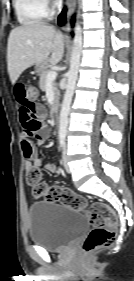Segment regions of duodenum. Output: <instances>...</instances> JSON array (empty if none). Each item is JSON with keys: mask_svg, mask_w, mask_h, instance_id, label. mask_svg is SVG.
<instances>
[{"mask_svg": "<svg viewBox=\"0 0 134 281\" xmlns=\"http://www.w3.org/2000/svg\"><path fill=\"white\" fill-rule=\"evenodd\" d=\"M58 116H59V107L57 104H55L51 109V121L53 123H56L58 121Z\"/></svg>", "mask_w": 134, "mask_h": 281, "instance_id": "1", "label": "duodenum"}]
</instances>
